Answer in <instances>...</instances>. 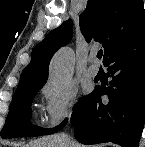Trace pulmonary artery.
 <instances>
[{
  "instance_id": "obj_1",
  "label": "pulmonary artery",
  "mask_w": 145,
  "mask_h": 147,
  "mask_svg": "<svg viewBox=\"0 0 145 147\" xmlns=\"http://www.w3.org/2000/svg\"><path fill=\"white\" fill-rule=\"evenodd\" d=\"M90 66L88 68V73L90 76L95 77L99 73V66H98V60L95 55L91 56L90 58Z\"/></svg>"
}]
</instances>
